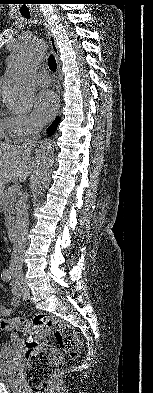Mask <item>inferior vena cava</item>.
<instances>
[{
	"label": "inferior vena cava",
	"instance_id": "inferior-vena-cava-1",
	"mask_svg": "<svg viewBox=\"0 0 153 393\" xmlns=\"http://www.w3.org/2000/svg\"><path fill=\"white\" fill-rule=\"evenodd\" d=\"M41 128L38 125H33L29 138L23 144L24 151L31 154L33 147L40 138ZM28 194L24 193L20 196L16 206V221H15V238L13 242V252L9 269L14 274H22L23 259L26 248V240L29 226V215L27 212Z\"/></svg>",
	"mask_w": 153,
	"mask_h": 393
}]
</instances>
